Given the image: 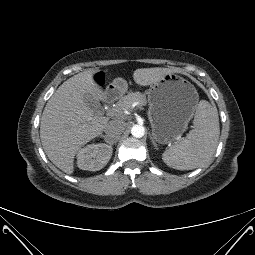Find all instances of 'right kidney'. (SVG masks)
<instances>
[{
	"mask_svg": "<svg viewBox=\"0 0 255 255\" xmlns=\"http://www.w3.org/2000/svg\"><path fill=\"white\" fill-rule=\"evenodd\" d=\"M112 147L106 144H90L80 149L77 154V165L82 170L98 171L112 156Z\"/></svg>",
	"mask_w": 255,
	"mask_h": 255,
	"instance_id": "obj_1",
	"label": "right kidney"
}]
</instances>
